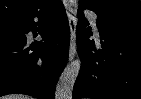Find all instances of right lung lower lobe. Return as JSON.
<instances>
[{"mask_svg": "<svg viewBox=\"0 0 141 99\" xmlns=\"http://www.w3.org/2000/svg\"><path fill=\"white\" fill-rule=\"evenodd\" d=\"M36 29L43 41L30 45L26 34L32 30L35 35ZM69 41L67 15L60 1L46 11L0 21V96L20 93L53 99L67 63Z\"/></svg>", "mask_w": 141, "mask_h": 99, "instance_id": "obj_1", "label": "right lung lower lobe"}]
</instances>
